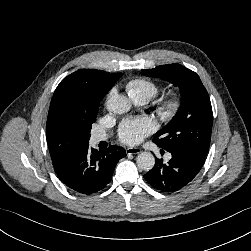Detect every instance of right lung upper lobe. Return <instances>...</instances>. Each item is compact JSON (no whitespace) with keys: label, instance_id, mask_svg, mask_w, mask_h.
<instances>
[{"label":"right lung upper lobe","instance_id":"cb5924a9","mask_svg":"<svg viewBox=\"0 0 251 251\" xmlns=\"http://www.w3.org/2000/svg\"><path fill=\"white\" fill-rule=\"evenodd\" d=\"M122 73L82 69L65 77L57 86L49 108L46 136L54 169L89 143L84 116L99 107L103 96Z\"/></svg>","mask_w":251,"mask_h":251}]
</instances>
